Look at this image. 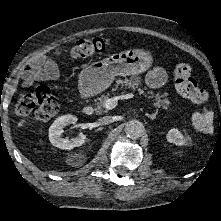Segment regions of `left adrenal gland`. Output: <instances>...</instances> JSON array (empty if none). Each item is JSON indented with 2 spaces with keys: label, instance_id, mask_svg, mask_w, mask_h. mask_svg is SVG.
I'll use <instances>...</instances> for the list:
<instances>
[{
  "label": "left adrenal gland",
  "instance_id": "a2214340",
  "mask_svg": "<svg viewBox=\"0 0 221 221\" xmlns=\"http://www.w3.org/2000/svg\"><path fill=\"white\" fill-rule=\"evenodd\" d=\"M157 114H158V111L156 110L155 113H153V114H146V115L148 116V118L154 120L156 118Z\"/></svg>",
  "mask_w": 221,
  "mask_h": 221
}]
</instances>
